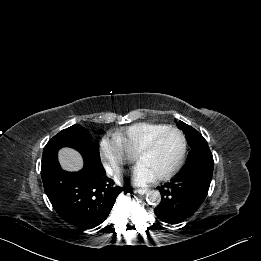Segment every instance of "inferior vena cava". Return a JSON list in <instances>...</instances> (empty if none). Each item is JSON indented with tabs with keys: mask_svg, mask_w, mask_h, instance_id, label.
I'll return each instance as SVG.
<instances>
[{
	"mask_svg": "<svg viewBox=\"0 0 261 261\" xmlns=\"http://www.w3.org/2000/svg\"><path fill=\"white\" fill-rule=\"evenodd\" d=\"M105 170L106 172L109 174V175H112L114 172H116L118 170V167L117 165H114V164H107L105 166Z\"/></svg>",
	"mask_w": 261,
	"mask_h": 261,
	"instance_id": "obj_1",
	"label": "inferior vena cava"
}]
</instances>
